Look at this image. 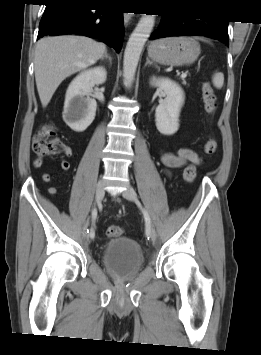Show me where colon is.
<instances>
[{
  "instance_id": "5ec220e1",
  "label": "colon",
  "mask_w": 261,
  "mask_h": 355,
  "mask_svg": "<svg viewBox=\"0 0 261 355\" xmlns=\"http://www.w3.org/2000/svg\"><path fill=\"white\" fill-rule=\"evenodd\" d=\"M204 106L209 117H212L216 111V96L212 86L205 83L202 88ZM66 148L65 143L58 138L55 128L50 124H44L37 132L33 141V151L40 158L57 157L61 155ZM217 149V140L211 136L204 145L205 155H213ZM196 165L191 163L183 170V177L187 182H193L196 178ZM123 234L121 226L112 225L106 230L109 238H116Z\"/></svg>"
}]
</instances>
